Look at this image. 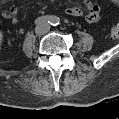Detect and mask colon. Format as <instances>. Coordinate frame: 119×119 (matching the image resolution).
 Returning a JSON list of instances; mask_svg holds the SVG:
<instances>
[{
    "instance_id": "colon-1",
    "label": "colon",
    "mask_w": 119,
    "mask_h": 119,
    "mask_svg": "<svg viewBox=\"0 0 119 119\" xmlns=\"http://www.w3.org/2000/svg\"><path fill=\"white\" fill-rule=\"evenodd\" d=\"M108 36L112 40H116L119 38V26L112 25L109 29Z\"/></svg>"
}]
</instances>
